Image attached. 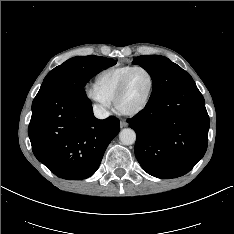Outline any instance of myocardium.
Segmentation results:
<instances>
[{
	"mask_svg": "<svg viewBox=\"0 0 234 234\" xmlns=\"http://www.w3.org/2000/svg\"><path fill=\"white\" fill-rule=\"evenodd\" d=\"M138 70H143L145 72H147V74L149 75L150 78V87L147 93L146 98L144 99V101L135 109L132 110H122L119 107V101L121 99V97L123 96V94L125 93L128 84H129V80L131 78V76L133 75L134 72L138 71ZM154 88H155V77L153 75V73L151 72L150 69H148L147 67L144 66H135L134 68H132L123 78V80L121 81L118 89L115 92V95L113 97V104L115 107V110L120 113L121 115H125V116H134L139 114L140 112H142L149 104L153 92H154Z\"/></svg>",
	"mask_w": 234,
	"mask_h": 234,
	"instance_id": "obj_1",
	"label": "myocardium"
}]
</instances>
